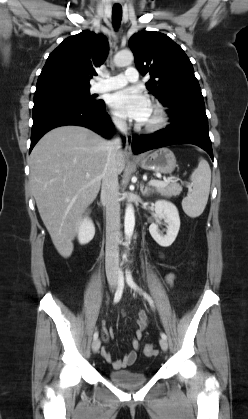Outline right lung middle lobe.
Returning a JSON list of instances; mask_svg holds the SVG:
<instances>
[{
  "mask_svg": "<svg viewBox=\"0 0 248 419\" xmlns=\"http://www.w3.org/2000/svg\"><path fill=\"white\" fill-rule=\"evenodd\" d=\"M48 99H68L79 101L92 106H100L103 100H97L90 95L89 88L85 89H59L41 93H35L34 102L48 100Z\"/></svg>",
  "mask_w": 248,
  "mask_h": 419,
  "instance_id": "dd1d6c3e",
  "label": "right lung middle lobe"
}]
</instances>
